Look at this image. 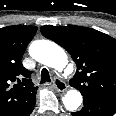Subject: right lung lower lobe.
I'll list each match as a JSON object with an SVG mask.
<instances>
[{"instance_id":"98d812e1","label":"right lung lower lobe","mask_w":116,"mask_h":116,"mask_svg":"<svg viewBox=\"0 0 116 116\" xmlns=\"http://www.w3.org/2000/svg\"><path fill=\"white\" fill-rule=\"evenodd\" d=\"M35 106V105H34ZM34 106L31 107L23 116H29L34 109Z\"/></svg>"}]
</instances>
